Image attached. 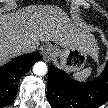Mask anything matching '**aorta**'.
I'll use <instances>...</instances> for the list:
<instances>
[{"label":"aorta","mask_w":108,"mask_h":108,"mask_svg":"<svg viewBox=\"0 0 108 108\" xmlns=\"http://www.w3.org/2000/svg\"><path fill=\"white\" fill-rule=\"evenodd\" d=\"M33 72L37 76H43L47 72V66L44 62H37L33 66Z\"/></svg>","instance_id":"aorta-1"}]
</instances>
